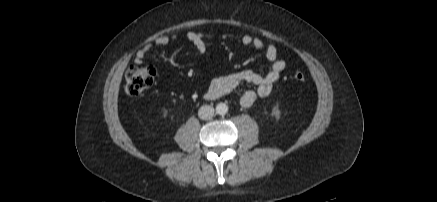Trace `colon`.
<instances>
[{"instance_id": "colon-1", "label": "colon", "mask_w": 437, "mask_h": 202, "mask_svg": "<svg viewBox=\"0 0 437 202\" xmlns=\"http://www.w3.org/2000/svg\"><path fill=\"white\" fill-rule=\"evenodd\" d=\"M156 78V71L151 66H139L132 64L128 67L125 74V90L130 96L140 95L143 91L150 88ZM293 78L297 82H303L305 80L304 73L297 71L294 73Z\"/></svg>"}]
</instances>
